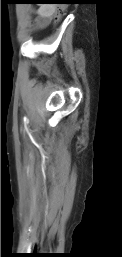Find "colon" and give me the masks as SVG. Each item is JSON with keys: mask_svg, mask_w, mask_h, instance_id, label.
<instances>
[{"mask_svg": "<svg viewBox=\"0 0 122 257\" xmlns=\"http://www.w3.org/2000/svg\"><path fill=\"white\" fill-rule=\"evenodd\" d=\"M58 8H55V17L54 21H51V26L49 27L50 31H57L59 26V22L62 21V16H65V12L68 9V7L71 6L70 2H58L57 3Z\"/></svg>", "mask_w": 122, "mask_h": 257, "instance_id": "1", "label": "colon"}]
</instances>
